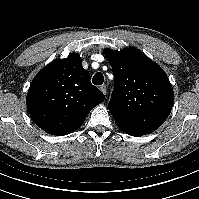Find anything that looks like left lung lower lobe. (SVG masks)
<instances>
[{
    "instance_id": "0a47b994",
    "label": "left lung lower lobe",
    "mask_w": 199,
    "mask_h": 199,
    "mask_svg": "<svg viewBox=\"0 0 199 199\" xmlns=\"http://www.w3.org/2000/svg\"><path fill=\"white\" fill-rule=\"evenodd\" d=\"M122 129L124 132H126L127 134H130L132 136H141V134H138V133H135V132H131V131H128L126 129H123V128H120Z\"/></svg>"
}]
</instances>
